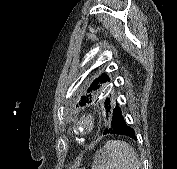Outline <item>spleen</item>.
<instances>
[{
	"label": "spleen",
	"instance_id": "obj_1",
	"mask_svg": "<svg viewBox=\"0 0 177 169\" xmlns=\"http://www.w3.org/2000/svg\"><path fill=\"white\" fill-rule=\"evenodd\" d=\"M92 169H139V162L130 144L109 140L95 155Z\"/></svg>",
	"mask_w": 177,
	"mask_h": 169
}]
</instances>
